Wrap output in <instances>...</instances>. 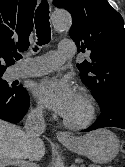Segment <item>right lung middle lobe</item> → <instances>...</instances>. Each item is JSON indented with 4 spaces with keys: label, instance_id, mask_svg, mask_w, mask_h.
<instances>
[{
    "label": "right lung middle lobe",
    "instance_id": "obj_1",
    "mask_svg": "<svg viewBox=\"0 0 125 167\" xmlns=\"http://www.w3.org/2000/svg\"><path fill=\"white\" fill-rule=\"evenodd\" d=\"M3 73L4 72H0V88L5 89L7 91H11V92L16 91L15 85L12 84L11 86L5 80H3L2 78Z\"/></svg>",
    "mask_w": 125,
    "mask_h": 167
}]
</instances>
